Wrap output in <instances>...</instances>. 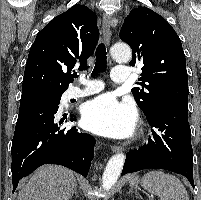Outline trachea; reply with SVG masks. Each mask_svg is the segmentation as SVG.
<instances>
[{
    "label": "trachea",
    "mask_w": 201,
    "mask_h": 200,
    "mask_svg": "<svg viewBox=\"0 0 201 200\" xmlns=\"http://www.w3.org/2000/svg\"><path fill=\"white\" fill-rule=\"evenodd\" d=\"M107 66V53H106V47L104 43H100L96 49V62L93 69V72L91 74V77H95L100 72H103L106 69ZM73 77L77 78V74H73Z\"/></svg>",
    "instance_id": "1"
}]
</instances>
